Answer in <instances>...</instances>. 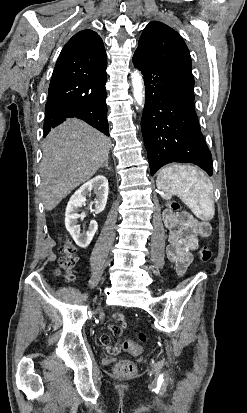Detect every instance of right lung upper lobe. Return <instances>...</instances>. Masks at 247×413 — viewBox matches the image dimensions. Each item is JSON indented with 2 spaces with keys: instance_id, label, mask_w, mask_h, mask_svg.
Instances as JSON below:
<instances>
[{
  "instance_id": "right-lung-upper-lobe-1",
  "label": "right lung upper lobe",
  "mask_w": 247,
  "mask_h": 413,
  "mask_svg": "<svg viewBox=\"0 0 247 413\" xmlns=\"http://www.w3.org/2000/svg\"><path fill=\"white\" fill-rule=\"evenodd\" d=\"M106 65L107 56L102 39L96 32L86 29L75 34L64 46L54 70L84 73Z\"/></svg>"
}]
</instances>
